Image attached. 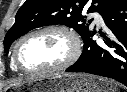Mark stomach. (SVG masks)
Instances as JSON below:
<instances>
[{"mask_svg":"<svg viewBox=\"0 0 127 92\" xmlns=\"http://www.w3.org/2000/svg\"><path fill=\"white\" fill-rule=\"evenodd\" d=\"M30 92H115L105 80H98L87 74H55L32 79L26 82ZM20 89L9 87L5 92Z\"/></svg>","mask_w":127,"mask_h":92,"instance_id":"0dacf381","label":"stomach"}]
</instances>
